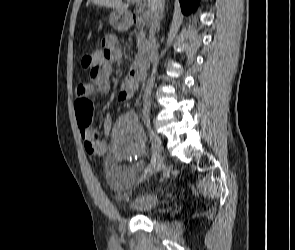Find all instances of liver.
<instances>
[{
    "label": "liver",
    "instance_id": "6515ba94",
    "mask_svg": "<svg viewBox=\"0 0 295 250\" xmlns=\"http://www.w3.org/2000/svg\"><path fill=\"white\" fill-rule=\"evenodd\" d=\"M148 6L153 12L154 8V0H147ZM92 3L95 5L105 6L108 8H113L115 10L124 12L129 7V2L127 1V4L123 3L122 0H92Z\"/></svg>",
    "mask_w": 295,
    "mask_h": 250
}]
</instances>
